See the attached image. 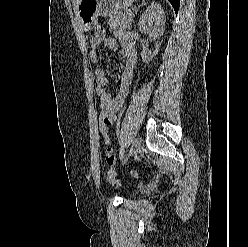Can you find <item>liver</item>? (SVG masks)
<instances>
[{
	"label": "liver",
	"mask_w": 248,
	"mask_h": 247,
	"mask_svg": "<svg viewBox=\"0 0 248 247\" xmlns=\"http://www.w3.org/2000/svg\"><path fill=\"white\" fill-rule=\"evenodd\" d=\"M80 2V0H73V4H74V9L76 10V6L77 4Z\"/></svg>",
	"instance_id": "6515ba94"
}]
</instances>
